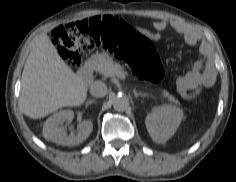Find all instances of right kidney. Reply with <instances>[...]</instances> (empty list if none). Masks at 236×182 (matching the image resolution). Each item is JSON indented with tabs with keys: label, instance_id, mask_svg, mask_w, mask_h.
<instances>
[{
	"label": "right kidney",
	"instance_id": "right-kidney-1",
	"mask_svg": "<svg viewBox=\"0 0 236 182\" xmlns=\"http://www.w3.org/2000/svg\"><path fill=\"white\" fill-rule=\"evenodd\" d=\"M74 118V113L71 110H61L54 113L44 123L43 136L45 139L55 142L63 146H76L85 141L93 129V124L90 120H84L78 125L76 133L67 134L66 128L61 124L64 121L71 122Z\"/></svg>",
	"mask_w": 236,
	"mask_h": 182
}]
</instances>
